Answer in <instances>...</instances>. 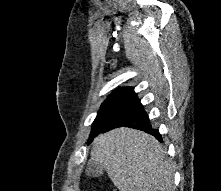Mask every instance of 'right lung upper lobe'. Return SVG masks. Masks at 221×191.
Returning a JSON list of instances; mask_svg holds the SVG:
<instances>
[{
	"instance_id": "cb5924a9",
	"label": "right lung upper lobe",
	"mask_w": 221,
	"mask_h": 191,
	"mask_svg": "<svg viewBox=\"0 0 221 191\" xmlns=\"http://www.w3.org/2000/svg\"><path fill=\"white\" fill-rule=\"evenodd\" d=\"M133 91L132 87H125V88H119L115 90L104 103L110 102V101H116L118 102L121 100L124 96H126L128 93Z\"/></svg>"
}]
</instances>
